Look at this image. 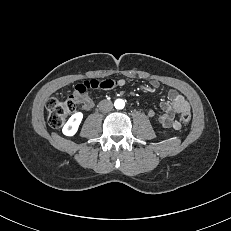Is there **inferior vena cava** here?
Here are the masks:
<instances>
[{
  "instance_id": "602c4592",
  "label": "inferior vena cava",
  "mask_w": 231,
  "mask_h": 231,
  "mask_svg": "<svg viewBox=\"0 0 231 231\" xmlns=\"http://www.w3.org/2000/svg\"><path fill=\"white\" fill-rule=\"evenodd\" d=\"M99 110L103 113L109 112L113 109V104L111 101L108 100H102L100 101L99 105Z\"/></svg>"
}]
</instances>
